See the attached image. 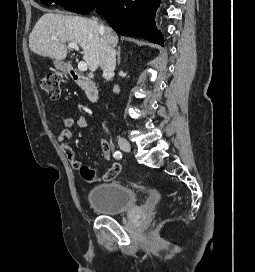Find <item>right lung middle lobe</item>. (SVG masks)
<instances>
[{
    "instance_id": "right-lung-middle-lobe-1",
    "label": "right lung middle lobe",
    "mask_w": 255,
    "mask_h": 272,
    "mask_svg": "<svg viewBox=\"0 0 255 272\" xmlns=\"http://www.w3.org/2000/svg\"><path fill=\"white\" fill-rule=\"evenodd\" d=\"M102 0H41L44 5H50L52 2L60 4L67 10L87 14L92 11Z\"/></svg>"
}]
</instances>
